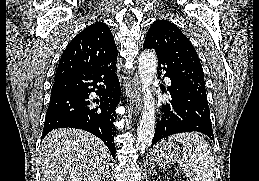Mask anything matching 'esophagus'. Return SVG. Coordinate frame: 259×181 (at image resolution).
Returning a JSON list of instances; mask_svg holds the SVG:
<instances>
[{"mask_svg": "<svg viewBox=\"0 0 259 181\" xmlns=\"http://www.w3.org/2000/svg\"><path fill=\"white\" fill-rule=\"evenodd\" d=\"M130 99H131V104L134 107V112L139 113L142 107V101H141L140 81L137 77H135L132 82V93H131Z\"/></svg>", "mask_w": 259, "mask_h": 181, "instance_id": "esophagus-1", "label": "esophagus"}]
</instances>
